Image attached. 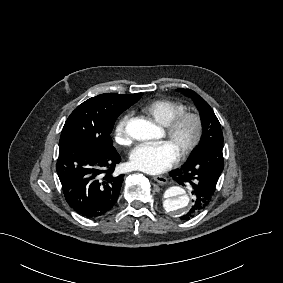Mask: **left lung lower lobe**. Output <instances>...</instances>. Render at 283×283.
Masks as SVG:
<instances>
[{
  "mask_svg": "<svg viewBox=\"0 0 283 283\" xmlns=\"http://www.w3.org/2000/svg\"><path fill=\"white\" fill-rule=\"evenodd\" d=\"M224 168L222 147L205 148L193 156L181 169L170 173L179 184H191L194 195L193 206L182 217L189 220L200 213L211 201L217 181Z\"/></svg>",
  "mask_w": 283,
  "mask_h": 283,
  "instance_id": "1",
  "label": "left lung lower lobe"
}]
</instances>
